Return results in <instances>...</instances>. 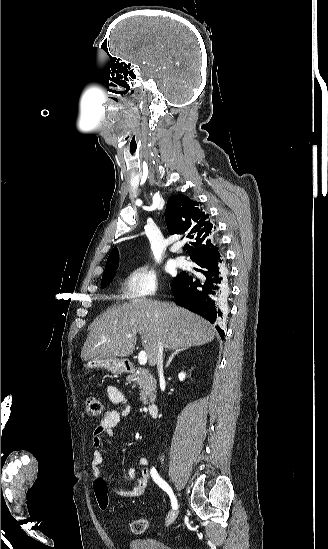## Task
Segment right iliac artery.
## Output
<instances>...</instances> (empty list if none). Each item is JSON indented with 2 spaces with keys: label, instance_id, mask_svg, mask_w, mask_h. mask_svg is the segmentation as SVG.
<instances>
[{
  "label": "right iliac artery",
  "instance_id": "1",
  "mask_svg": "<svg viewBox=\"0 0 328 549\" xmlns=\"http://www.w3.org/2000/svg\"><path fill=\"white\" fill-rule=\"evenodd\" d=\"M151 476H152L153 480L155 481V483H157L165 492L168 493V495L170 496V499H171L172 507H173V509H176L177 506H178L177 505V500H176V497L174 496V493H173L172 489L170 488V486L158 475L155 468L151 469Z\"/></svg>",
  "mask_w": 328,
  "mask_h": 549
}]
</instances>
